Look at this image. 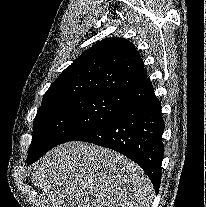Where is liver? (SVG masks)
Returning a JSON list of instances; mask_svg holds the SVG:
<instances>
[{
	"instance_id": "6515ba94",
	"label": "liver",
	"mask_w": 206,
	"mask_h": 207,
	"mask_svg": "<svg viewBox=\"0 0 206 207\" xmlns=\"http://www.w3.org/2000/svg\"><path fill=\"white\" fill-rule=\"evenodd\" d=\"M31 180L46 195V207H150L154 196L150 179L134 162L80 141L48 151Z\"/></svg>"
}]
</instances>
